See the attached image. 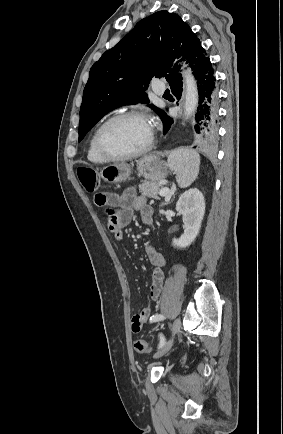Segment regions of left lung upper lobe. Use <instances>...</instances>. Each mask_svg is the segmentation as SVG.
<instances>
[{
	"instance_id": "left-lung-upper-lobe-1",
	"label": "left lung upper lobe",
	"mask_w": 283,
	"mask_h": 434,
	"mask_svg": "<svg viewBox=\"0 0 283 434\" xmlns=\"http://www.w3.org/2000/svg\"><path fill=\"white\" fill-rule=\"evenodd\" d=\"M207 58L199 38L179 15L163 10L142 19L91 67L80 108L79 141L110 111L149 103L145 90L153 77L166 78L171 87L180 83L175 59L194 71ZM149 106L164 121L167 114Z\"/></svg>"
}]
</instances>
